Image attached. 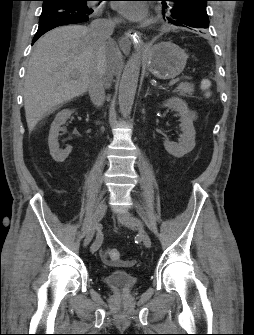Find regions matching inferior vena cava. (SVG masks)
Segmentation results:
<instances>
[{
    "label": "inferior vena cava",
    "mask_w": 254,
    "mask_h": 335,
    "mask_svg": "<svg viewBox=\"0 0 254 335\" xmlns=\"http://www.w3.org/2000/svg\"><path fill=\"white\" fill-rule=\"evenodd\" d=\"M117 19H96L92 21L89 27V34L92 41L98 45H102L105 41L110 40L114 31ZM111 79L107 73L104 61L99 60L95 70L89 78L88 91L92 103L100 107L105 101V88L109 87Z\"/></svg>",
    "instance_id": "1"
}]
</instances>
